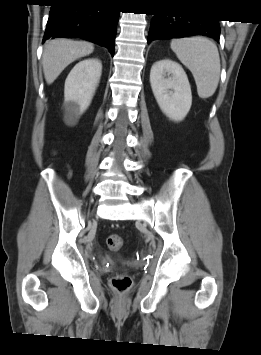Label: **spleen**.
I'll return each instance as SVG.
<instances>
[{"label":"spleen","instance_id":"spleen-1","mask_svg":"<svg viewBox=\"0 0 261 355\" xmlns=\"http://www.w3.org/2000/svg\"><path fill=\"white\" fill-rule=\"evenodd\" d=\"M171 49L193 74L200 98L211 97L220 79V57L217 46L205 37L173 39Z\"/></svg>","mask_w":261,"mask_h":355}]
</instances>
